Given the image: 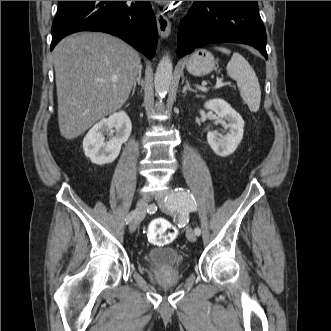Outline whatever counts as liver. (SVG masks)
Instances as JSON below:
<instances>
[{
    "label": "liver",
    "instance_id": "obj_1",
    "mask_svg": "<svg viewBox=\"0 0 331 331\" xmlns=\"http://www.w3.org/2000/svg\"><path fill=\"white\" fill-rule=\"evenodd\" d=\"M52 55L59 130L69 140L119 110L142 70L135 49L100 32L67 36Z\"/></svg>",
    "mask_w": 331,
    "mask_h": 331
}]
</instances>
